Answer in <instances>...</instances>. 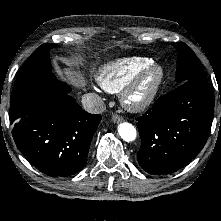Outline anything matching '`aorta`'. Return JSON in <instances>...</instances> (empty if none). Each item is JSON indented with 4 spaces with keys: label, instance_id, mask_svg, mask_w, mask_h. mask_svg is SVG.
<instances>
[{
    "label": "aorta",
    "instance_id": "obj_1",
    "mask_svg": "<svg viewBox=\"0 0 221 221\" xmlns=\"http://www.w3.org/2000/svg\"><path fill=\"white\" fill-rule=\"evenodd\" d=\"M118 133L121 138L126 142L134 141L136 138V129L132 124L128 122H123L119 124Z\"/></svg>",
    "mask_w": 221,
    "mask_h": 221
}]
</instances>
